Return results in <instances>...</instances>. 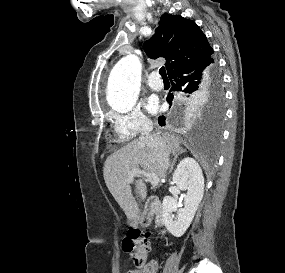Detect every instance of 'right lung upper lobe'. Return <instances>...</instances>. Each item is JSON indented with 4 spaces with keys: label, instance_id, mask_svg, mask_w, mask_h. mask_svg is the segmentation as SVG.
I'll list each match as a JSON object with an SVG mask.
<instances>
[{
    "label": "right lung upper lobe",
    "instance_id": "cb5924a9",
    "mask_svg": "<svg viewBox=\"0 0 285 273\" xmlns=\"http://www.w3.org/2000/svg\"><path fill=\"white\" fill-rule=\"evenodd\" d=\"M143 47L150 58L167 60L168 75L185 64L213 54L206 36L194 21L168 14L162 15L155 35Z\"/></svg>",
    "mask_w": 285,
    "mask_h": 273
}]
</instances>
